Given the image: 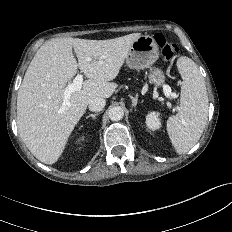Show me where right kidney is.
Returning a JSON list of instances; mask_svg holds the SVG:
<instances>
[{
  "label": "right kidney",
  "instance_id": "right-kidney-1",
  "mask_svg": "<svg viewBox=\"0 0 232 232\" xmlns=\"http://www.w3.org/2000/svg\"><path fill=\"white\" fill-rule=\"evenodd\" d=\"M84 140V137H81L80 139H78L77 143L81 142Z\"/></svg>",
  "mask_w": 232,
  "mask_h": 232
}]
</instances>
